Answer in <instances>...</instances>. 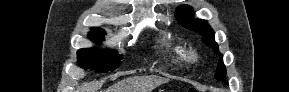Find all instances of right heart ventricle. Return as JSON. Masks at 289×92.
<instances>
[{"mask_svg":"<svg viewBox=\"0 0 289 92\" xmlns=\"http://www.w3.org/2000/svg\"><path fill=\"white\" fill-rule=\"evenodd\" d=\"M163 44L168 52L170 64L173 67H179L187 60L186 48L178 42L163 41Z\"/></svg>","mask_w":289,"mask_h":92,"instance_id":"1","label":"right heart ventricle"}]
</instances>
